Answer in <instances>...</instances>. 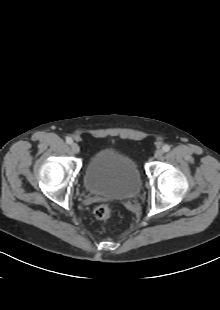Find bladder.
<instances>
[{"mask_svg":"<svg viewBox=\"0 0 220 310\" xmlns=\"http://www.w3.org/2000/svg\"><path fill=\"white\" fill-rule=\"evenodd\" d=\"M83 184L92 195L121 200L135 197L141 190L142 179L134 159L113 147H105L89 159Z\"/></svg>","mask_w":220,"mask_h":310,"instance_id":"obj_1","label":"bladder"}]
</instances>
